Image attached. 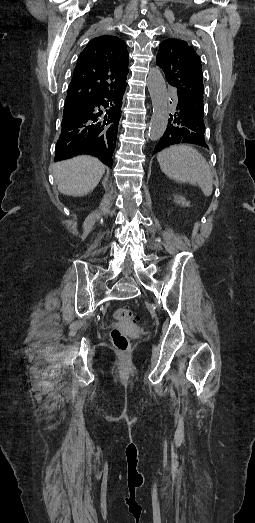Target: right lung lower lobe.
Returning a JSON list of instances; mask_svg holds the SVG:
<instances>
[{"mask_svg":"<svg viewBox=\"0 0 255 523\" xmlns=\"http://www.w3.org/2000/svg\"><path fill=\"white\" fill-rule=\"evenodd\" d=\"M79 115L83 117V143L87 146L100 141V103L91 101L79 104Z\"/></svg>","mask_w":255,"mask_h":523,"instance_id":"98d812e1","label":"right lung lower lobe"}]
</instances>
